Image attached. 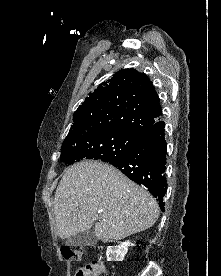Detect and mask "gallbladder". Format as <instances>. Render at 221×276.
<instances>
[{"label": "gallbladder", "mask_w": 221, "mask_h": 276, "mask_svg": "<svg viewBox=\"0 0 221 276\" xmlns=\"http://www.w3.org/2000/svg\"><path fill=\"white\" fill-rule=\"evenodd\" d=\"M97 243L94 231L91 229L79 232L71 237H68L66 244L68 246H94Z\"/></svg>", "instance_id": "obj_1"}]
</instances>
